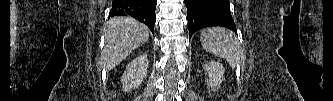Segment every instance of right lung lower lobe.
<instances>
[{"label": "right lung lower lobe", "mask_w": 333, "mask_h": 101, "mask_svg": "<svg viewBox=\"0 0 333 101\" xmlns=\"http://www.w3.org/2000/svg\"><path fill=\"white\" fill-rule=\"evenodd\" d=\"M157 0H113L110 16H131L146 24L154 33Z\"/></svg>", "instance_id": "98d812e1"}]
</instances>
